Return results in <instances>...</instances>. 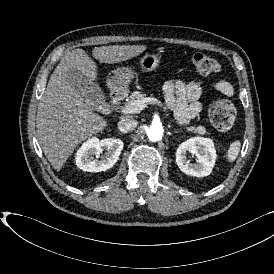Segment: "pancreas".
<instances>
[{
	"mask_svg": "<svg viewBox=\"0 0 274 274\" xmlns=\"http://www.w3.org/2000/svg\"><path fill=\"white\" fill-rule=\"evenodd\" d=\"M143 97V94L140 91L133 92L132 95L129 97V103L134 102L135 100L141 99ZM185 129H187L189 132L197 133L199 135H209L210 132L207 130L204 126H184Z\"/></svg>",
	"mask_w": 274,
	"mask_h": 274,
	"instance_id": "pancreas-1",
	"label": "pancreas"
}]
</instances>
